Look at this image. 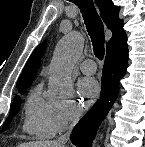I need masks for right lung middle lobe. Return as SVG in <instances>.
<instances>
[{
	"mask_svg": "<svg viewBox=\"0 0 145 147\" xmlns=\"http://www.w3.org/2000/svg\"><path fill=\"white\" fill-rule=\"evenodd\" d=\"M27 87L18 89L20 94H24L26 91ZM21 105V99L19 96H15L14 100H13V105H12V109L10 111V115L7 117L4 125H3V131L6 130V128L9 126L11 120H12V116H15L20 108Z\"/></svg>",
	"mask_w": 145,
	"mask_h": 147,
	"instance_id": "1",
	"label": "right lung middle lobe"
}]
</instances>
